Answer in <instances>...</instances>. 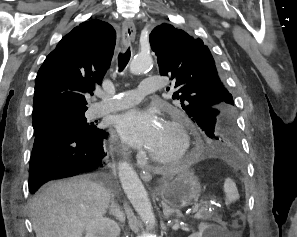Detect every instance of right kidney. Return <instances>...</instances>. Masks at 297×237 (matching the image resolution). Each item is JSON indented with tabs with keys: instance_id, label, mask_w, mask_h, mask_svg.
I'll use <instances>...</instances> for the list:
<instances>
[{
	"instance_id": "ca27d5eb",
	"label": "right kidney",
	"mask_w": 297,
	"mask_h": 237,
	"mask_svg": "<svg viewBox=\"0 0 297 237\" xmlns=\"http://www.w3.org/2000/svg\"><path fill=\"white\" fill-rule=\"evenodd\" d=\"M85 229V237H119L120 235L118 224L107 217L91 220Z\"/></svg>"
}]
</instances>
